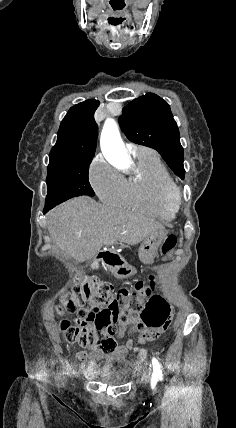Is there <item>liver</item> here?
Segmentation results:
<instances>
[{
  "label": "liver",
  "instance_id": "obj_1",
  "mask_svg": "<svg viewBox=\"0 0 236 428\" xmlns=\"http://www.w3.org/2000/svg\"><path fill=\"white\" fill-rule=\"evenodd\" d=\"M50 238L77 262L92 260L103 246L124 242L140 244L155 232L166 234L163 224L143 214L117 212L88 196L73 198L47 214Z\"/></svg>",
  "mask_w": 236,
  "mask_h": 428
}]
</instances>
